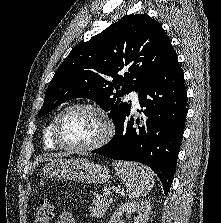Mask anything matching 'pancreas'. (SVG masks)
I'll use <instances>...</instances> for the list:
<instances>
[{
    "label": "pancreas",
    "instance_id": "pancreas-1",
    "mask_svg": "<svg viewBox=\"0 0 221 223\" xmlns=\"http://www.w3.org/2000/svg\"><path fill=\"white\" fill-rule=\"evenodd\" d=\"M110 193L104 194V197L98 200H94L93 204L89 207L90 215L95 218H100L105 215L108 207L112 204L113 198Z\"/></svg>",
    "mask_w": 221,
    "mask_h": 223
}]
</instances>
